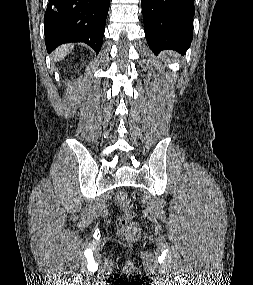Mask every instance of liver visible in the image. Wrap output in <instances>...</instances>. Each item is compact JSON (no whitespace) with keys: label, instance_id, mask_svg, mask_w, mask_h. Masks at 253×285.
<instances>
[{"label":"liver","instance_id":"6515ba94","mask_svg":"<svg viewBox=\"0 0 253 285\" xmlns=\"http://www.w3.org/2000/svg\"><path fill=\"white\" fill-rule=\"evenodd\" d=\"M72 48H73V45H67L62 48H59L57 51H55L53 55L54 61H59L63 59Z\"/></svg>","mask_w":253,"mask_h":285}]
</instances>
